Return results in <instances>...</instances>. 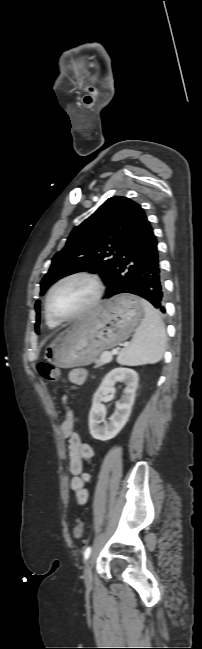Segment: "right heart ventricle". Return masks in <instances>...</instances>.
<instances>
[{
	"mask_svg": "<svg viewBox=\"0 0 202 649\" xmlns=\"http://www.w3.org/2000/svg\"><path fill=\"white\" fill-rule=\"evenodd\" d=\"M45 321L50 328H55L58 325V323L52 321L47 314H45Z\"/></svg>",
	"mask_w": 202,
	"mask_h": 649,
	"instance_id": "1",
	"label": "right heart ventricle"
}]
</instances>
